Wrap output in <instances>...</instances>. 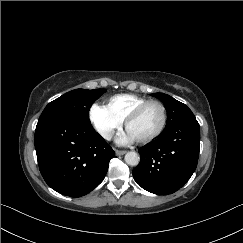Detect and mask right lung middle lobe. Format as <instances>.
<instances>
[{
	"mask_svg": "<svg viewBox=\"0 0 243 243\" xmlns=\"http://www.w3.org/2000/svg\"><path fill=\"white\" fill-rule=\"evenodd\" d=\"M105 89H75L50 102L42 112L38 124L53 118H63L90 124L91 105Z\"/></svg>",
	"mask_w": 243,
	"mask_h": 243,
	"instance_id": "dd1d6c3e",
	"label": "right lung middle lobe"
}]
</instances>
